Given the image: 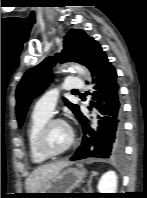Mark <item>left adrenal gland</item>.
Here are the masks:
<instances>
[{
  "label": "left adrenal gland",
  "instance_id": "a2214340",
  "mask_svg": "<svg viewBox=\"0 0 147 198\" xmlns=\"http://www.w3.org/2000/svg\"><path fill=\"white\" fill-rule=\"evenodd\" d=\"M98 173L96 171H92L91 172V177L90 179L88 180V183H87V186H88V193H91V190H92V187H91V181H92V178L94 176H96Z\"/></svg>",
  "mask_w": 147,
  "mask_h": 198
}]
</instances>
